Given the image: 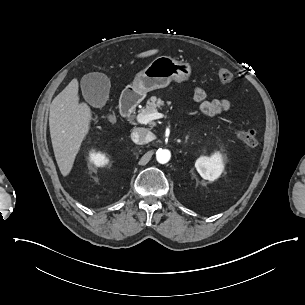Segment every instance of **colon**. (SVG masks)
I'll return each mask as SVG.
<instances>
[{
	"mask_svg": "<svg viewBox=\"0 0 305 305\" xmlns=\"http://www.w3.org/2000/svg\"><path fill=\"white\" fill-rule=\"evenodd\" d=\"M216 78L219 84L226 86L232 82L233 75L229 69L220 66L216 69ZM235 136L240 142L250 146L259 144V136L256 130H236Z\"/></svg>",
	"mask_w": 305,
	"mask_h": 305,
	"instance_id": "colon-1",
	"label": "colon"
}]
</instances>
